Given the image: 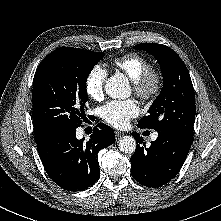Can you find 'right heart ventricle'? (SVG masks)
Listing matches in <instances>:
<instances>
[{
	"mask_svg": "<svg viewBox=\"0 0 221 221\" xmlns=\"http://www.w3.org/2000/svg\"><path fill=\"white\" fill-rule=\"evenodd\" d=\"M113 65L126 73L131 80L136 81L151 68V61L139 53H127L116 57Z\"/></svg>",
	"mask_w": 221,
	"mask_h": 221,
	"instance_id": "e07e8e85",
	"label": "right heart ventricle"
}]
</instances>
